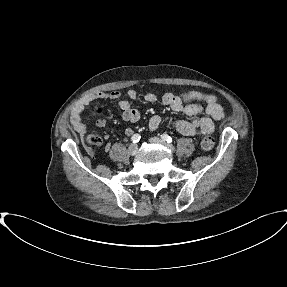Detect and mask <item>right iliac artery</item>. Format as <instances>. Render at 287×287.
Wrapping results in <instances>:
<instances>
[{"label": "right iliac artery", "instance_id": "1", "mask_svg": "<svg viewBox=\"0 0 287 287\" xmlns=\"http://www.w3.org/2000/svg\"><path fill=\"white\" fill-rule=\"evenodd\" d=\"M141 139V136L139 134H134L132 137H131V141L133 143H137L139 142V140Z\"/></svg>", "mask_w": 287, "mask_h": 287}]
</instances>
